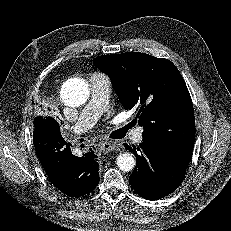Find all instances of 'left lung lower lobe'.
Here are the masks:
<instances>
[{"mask_svg":"<svg viewBox=\"0 0 231 231\" xmlns=\"http://www.w3.org/2000/svg\"><path fill=\"white\" fill-rule=\"evenodd\" d=\"M125 147L137 159L130 184L148 200L161 199L180 186L193 151V146L179 148L156 138H143L137 148L127 144Z\"/></svg>","mask_w":231,"mask_h":231,"instance_id":"0a47b994","label":"left lung lower lobe"}]
</instances>
